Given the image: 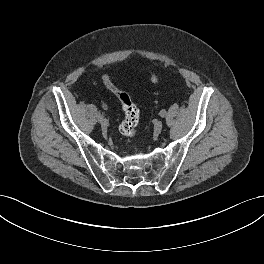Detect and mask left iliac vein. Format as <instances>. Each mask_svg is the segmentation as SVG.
I'll return each instance as SVG.
<instances>
[{
    "instance_id": "left-iliac-vein-1",
    "label": "left iliac vein",
    "mask_w": 264,
    "mask_h": 264,
    "mask_svg": "<svg viewBox=\"0 0 264 264\" xmlns=\"http://www.w3.org/2000/svg\"><path fill=\"white\" fill-rule=\"evenodd\" d=\"M163 127L162 121H156L154 124V131L155 133H160Z\"/></svg>"
}]
</instances>
